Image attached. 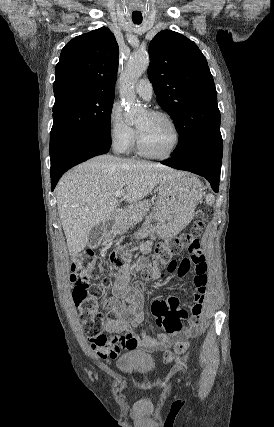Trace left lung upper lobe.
Instances as JSON below:
<instances>
[{
  "mask_svg": "<svg viewBox=\"0 0 274 427\" xmlns=\"http://www.w3.org/2000/svg\"><path fill=\"white\" fill-rule=\"evenodd\" d=\"M149 79L159 105L173 119L183 153L202 140L220 137L217 92L205 56L187 37L159 32L149 45Z\"/></svg>",
  "mask_w": 274,
  "mask_h": 427,
  "instance_id": "5c2ea615",
  "label": "left lung upper lobe"
}]
</instances>
